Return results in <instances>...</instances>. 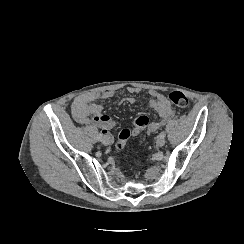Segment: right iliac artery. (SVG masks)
I'll return each mask as SVG.
<instances>
[{
    "instance_id": "82829eb1",
    "label": "right iliac artery",
    "mask_w": 244,
    "mask_h": 244,
    "mask_svg": "<svg viewBox=\"0 0 244 244\" xmlns=\"http://www.w3.org/2000/svg\"><path fill=\"white\" fill-rule=\"evenodd\" d=\"M102 136H103V134L101 132H99L98 135H97L98 141H101L102 140Z\"/></svg>"
}]
</instances>
